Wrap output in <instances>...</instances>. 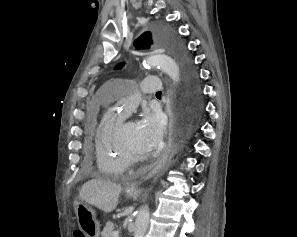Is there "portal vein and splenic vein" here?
Returning <instances> with one entry per match:
<instances>
[{
  "mask_svg": "<svg viewBox=\"0 0 297 237\" xmlns=\"http://www.w3.org/2000/svg\"><path fill=\"white\" fill-rule=\"evenodd\" d=\"M112 237H119V231H114Z\"/></svg>",
  "mask_w": 297,
  "mask_h": 237,
  "instance_id": "obj_1",
  "label": "portal vein and splenic vein"
}]
</instances>
